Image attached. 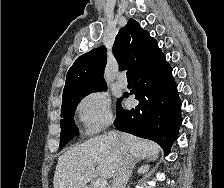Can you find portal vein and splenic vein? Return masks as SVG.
Masks as SVG:
<instances>
[{
    "instance_id": "1",
    "label": "portal vein and splenic vein",
    "mask_w": 224,
    "mask_h": 188,
    "mask_svg": "<svg viewBox=\"0 0 224 188\" xmlns=\"http://www.w3.org/2000/svg\"><path fill=\"white\" fill-rule=\"evenodd\" d=\"M94 188H109L108 182L105 179H97L94 183Z\"/></svg>"
}]
</instances>
